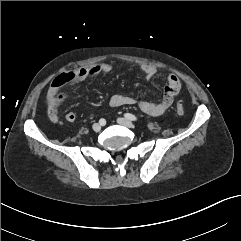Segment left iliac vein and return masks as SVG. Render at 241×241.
<instances>
[{
  "label": "left iliac vein",
  "mask_w": 241,
  "mask_h": 241,
  "mask_svg": "<svg viewBox=\"0 0 241 241\" xmlns=\"http://www.w3.org/2000/svg\"><path fill=\"white\" fill-rule=\"evenodd\" d=\"M117 122H118V124L129 127V128L133 127V123L126 118H118Z\"/></svg>",
  "instance_id": "obj_1"
}]
</instances>
